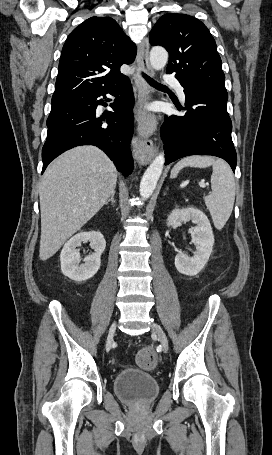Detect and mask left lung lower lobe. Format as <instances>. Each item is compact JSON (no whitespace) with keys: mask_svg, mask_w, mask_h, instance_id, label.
Here are the masks:
<instances>
[{"mask_svg":"<svg viewBox=\"0 0 272 455\" xmlns=\"http://www.w3.org/2000/svg\"><path fill=\"white\" fill-rule=\"evenodd\" d=\"M186 97L184 116H170L161 127L165 164L189 155H213L226 160L235 172L237 155L231 138L224 87L181 84Z\"/></svg>","mask_w":272,"mask_h":455,"instance_id":"0a47b994","label":"left lung lower lobe"}]
</instances>
